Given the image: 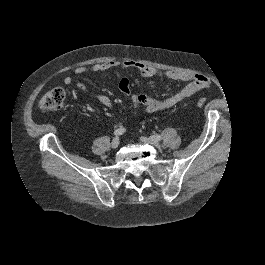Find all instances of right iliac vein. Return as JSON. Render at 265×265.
<instances>
[{
  "instance_id": "obj_1",
  "label": "right iliac vein",
  "mask_w": 265,
  "mask_h": 265,
  "mask_svg": "<svg viewBox=\"0 0 265 265\" xmlns=\"http://www.w3.org/2000/svg\"><path fill=\"white\" fill-rule=\"evenodd\" d=\"M120 140L118 137L114 138L111 142V147L113 149H116L119 146Z\"/></svg>"
}]
</instances>
